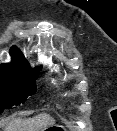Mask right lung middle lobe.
Segmentation results:
<instances>
[{
    "label": "right lung middle lobe",
    "instance_id": "obj_1",
    "mask_svg": "<svg viewBox=\"0 0 117 131\" xmlns=\"http://www.w3.org/2000/svg\"><path fill=\"white\" fill-rule=\"evenodd\" d=\"M37 75L30 76L20 68L0 69V113L20 105L28 96L35 94Z\"/></svg>",
    "mask_w": 117,
    "mask_h": 131
}]
</instances>
